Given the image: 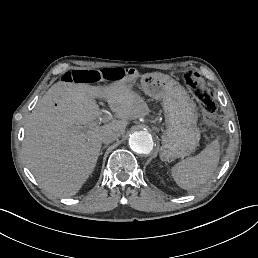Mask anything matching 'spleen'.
I'll return each mask as SVG.
<instances>
[{
	"instance_id": "spleen-1",
	"label": "spleen",
	"mask_w": 258,
	"mask_h": 258,
	"mask_svg": "<svg viewBox=\"0 0 258 258\" xmlns=\"http://www.w3.org/2000/svg\"><path fill=\"white\" fill-rule=\"evenodd\" d=\"M219 157L220 145L215 140L198 155L186 158L172 167V177L183 189H197L213 176Z\"/></svg>"
}]
</instances>
